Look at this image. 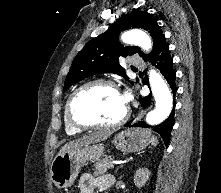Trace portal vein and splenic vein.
<instances>
[{"instance_id":"portal-vein-and-splenic-vein-1","label":"portal vein and splenic vein","mask_w":221,"mask_h":193,"mask_svg":"<svg viewBox=\"0 0 221 193\" xmlns=\"http://www.w3.org/2000/svg\"><path fill=\"white\" fill-rule=\"evenodd\" d=\"M112 168H114V163H110L109 165V169H112Z\"/></svg>"}]
</instances>
